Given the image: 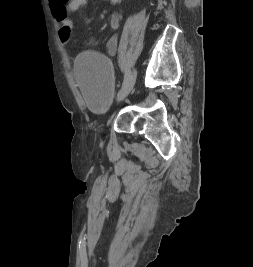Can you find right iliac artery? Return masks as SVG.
<instances>
[{
	"mask_svg": "<svg viewBox=\"0 0 253 267\" xmlns=\"http://www.w3.org/2000/svg\"><path fill=\"white\" fill-rule=\"evenodd\" d=\"M130 75H131V71L130 70H126L125 71V75H124V84L129 79Z\"/></svg>",
	"mask_w": 253,
	"mask_h": 267,
	"instance_id": "82829eb1",
	"label": "right iliac artery"
}]
</instances>
